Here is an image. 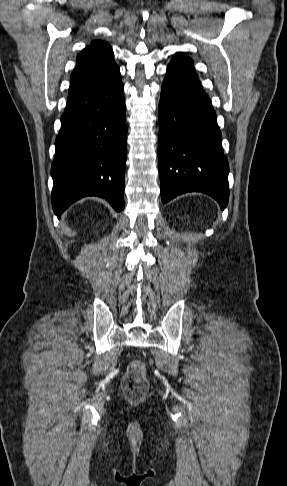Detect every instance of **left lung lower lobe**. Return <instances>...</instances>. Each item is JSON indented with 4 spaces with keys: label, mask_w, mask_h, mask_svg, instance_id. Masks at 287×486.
<instances>
[{
    "label": "left lung lower lobe",
    "mask_w": 287,
    "mask_h": 486,
    "mask_svg": "<svg viewBox=\"0 0 287 486\" xmlns=\"http://www.w3.org/2000/svg\"><path fill=\"white\" fill-rule=\"evenodd\" d=\"M158 119L162 202L197 191L226 208L229 166L217 116L194 67L176 57L163 80Z\"/></svg>",
    "instance_id": "left-lung-lower-lobe-1"
}]
</instances>
